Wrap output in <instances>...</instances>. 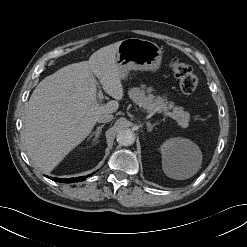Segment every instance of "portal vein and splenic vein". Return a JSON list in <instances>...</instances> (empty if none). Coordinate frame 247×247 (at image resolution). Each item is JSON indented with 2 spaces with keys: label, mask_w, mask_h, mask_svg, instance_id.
Instances as JSON below:
<instances>
[{
  "label": "portal vein and splenic vein",
  "mask_w": 247,
  "mask_h": 247,
  "mask_svg": "<svg viewBox=\"0 0 247 247\" xmlns=\"http://www.w3.org/2000/svg\"><path fill=\"white\" fill-rule=\"evenodd\" d=\"M98 98H99V101H102V99L104 98L103 93H102L101 90H100L99 93H98ZM163 114H164L165 116H168V117H171V118L174 117V115H173L172 112H164Z\"/></svg>",
  "instance_id": "1"
}]
</instances>
